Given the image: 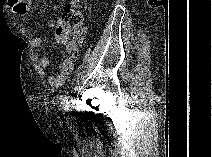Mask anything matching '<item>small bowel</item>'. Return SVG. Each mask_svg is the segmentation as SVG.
<instances>
[{"mask_svg":"<svg viewBox=\"0 0 212 157\" xmlns=\"http://www.w3.org/2000/svg\"><path fill=\"white\" fill-rule=\"evenodd\" d=\"M9 6L12 8L14 13L18 16H24L29 9V2L26 0H9ZM67 29V24L63 19H60L56 25V40L58 36ZM82 38V33H81ZM80 38V39H81ZM42 44V39L39 37H35L32 39V46L34 48L40 47ZM39 67L42 70H46L50 65V59L48 56H41L38 61ZM60 72L58 74L51 75L49 77V83L53 87H61L66 77L73 71L74 69V58H65L60 63Z\"/></svg>","mask_w":212,"mask_h":157,"instance_id":"1","label":"small bowel"}]
</instances>
